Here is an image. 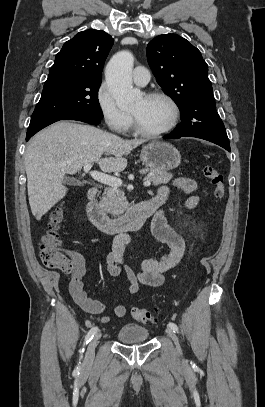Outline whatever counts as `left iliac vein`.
<instances>
[{"instance_id":"4c4485c4","label":"left iliac vein","mask_w":265,"mask_h":407,"mask_svg":"<svg viewBox=\"0 0 265 407\" xmlns=\"http://www.w3.org/2000/svg\"><path fill=\"white\" fill-rule=\"evenodd\" d=\"M166 334L174 341L178 351L180 352L179 340H178L177 335L174 333V331L171 328H167Z\"/></svg>"}]
</instances>
